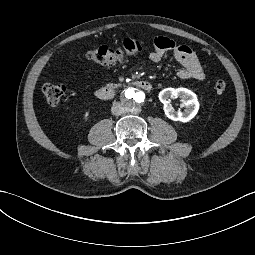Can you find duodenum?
Here are the masks:
<instances>
[{
	"instance_id": "1",
	"label": "duodenum",
	"mask_w": 255,
	"mask_h": 255,
	"mask_svg": "<svg viewBox=\"0 0 255 255\" xmlns=\"http://www.w3.org/2000/svg\"><path fill=\"white\" fill-rule=\"evenodd\" d=\"M133 84L144 91H150L152 89V85L146 80H136ZM95 96L100 100H111L115 96V90L111 87H102L95 91Z\"/></svg>"
}]
</instances>
